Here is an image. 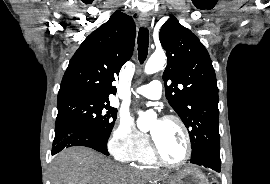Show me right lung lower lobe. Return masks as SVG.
Instances as JSON below:
<instances>
[{
    "instance_id": "98d812e1",
    "label": "right lung lower lobe",
    "mask_w": 270,
    "mask_h": 184,
    "mask_svg": "<svg viewBox=\"0 0 270 184\" xmlns=\"http://www.w3.org/2000/svg\"><path fill=\"white\" fill-rule=\"evenodd\" d=\"M72 146L90 147L105 155H109L107 150V140H104L95 133L78 126L62 125L55 127L52 155L64 148Z\"/></svg>"
}]
</instances>
